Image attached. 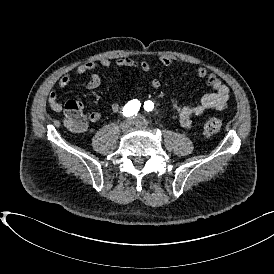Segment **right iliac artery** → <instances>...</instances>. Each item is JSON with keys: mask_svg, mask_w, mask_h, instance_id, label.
Listing matches in <instances>:
<instances>
[{"mask_svg": "<svg viewBox=\"0 0 274 274\" xmlns=\"http://www.w3.org/2000/svg\"><path fill=\"white\" fill-rule=\"evenodd\" d=\"M140 108V101L134 99L129 101L123 110V115L125 117L136 116Z\"/></svg>", "mask_w": 274, "mask_h": 274, "instance_id": "obj_1", "label": "right iliac artery"}]
</instances>
